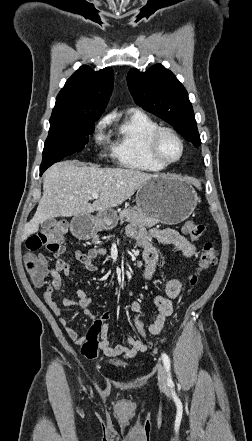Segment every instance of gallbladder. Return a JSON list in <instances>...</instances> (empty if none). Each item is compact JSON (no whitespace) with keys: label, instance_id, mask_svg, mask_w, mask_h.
I'll return each instance as SVG.
<instances>
[{"label":"gallbladder","instance_id":"gallbladder-1","mask_svg":"<svg viewBox=\"0 0 252 441\" xmlns=\"http://www.w3.org/2000/svg\"><path fill=\"white\" fill-rule=\"evenodd\" d=\"M57 224V220L55 219H48L46 221H44L43 223H41V227L43 229H49L53 226H55Z\"/></svg>","mask_w":252,"mask_h":441}]
</instances>
